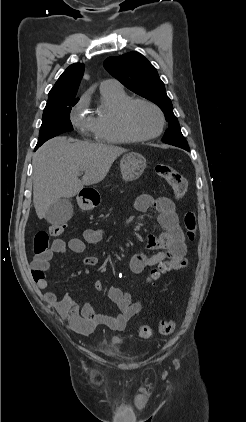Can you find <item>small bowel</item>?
I'll return each instance as SVG.
<instances>
[{
    "label": "small bowel",
    "instance_id": "small-bowel-1",
    "mask_svg": "<svg viewBox=\"0 0 246 422\" xmlns=\"http://www.w3.org/2000/svg\"><path fill=\"white\" fill-rule=\"evenodd\" d=\"M154 208L157 215V224L162 229L159 236L150 235L146 242L149 250L155 251L152 254L137 253L130 259V269L135 274L159 265L168 260L183 259L187 253V245L184 233L179 224L176 207L172 199L168 197H153L148 194H141L135 201V209L139 212H146ZM105 232L101 229H86L81 238H72L68 242L62 239L53 240L50 249L43 256L36 257L32 263V269L36 268L43 272L42 277L34 279L39 289H46L48 286L45 272L49 268V262L54 254L66 253L71 250L74 253H83L87 245L98 243L104 237ZM98 258L86 256L82 264L94 267L98 264ZM104 284L101 280L93 283L96 291H101ZM109 298L119 309L115 315H104L98 313L95 308L85 303L81 307L66 294L59 299L54 292H45L43 298L53 306L59 315L69 321L71 328L83 335L92 333L98 326L104 325L114 331H123L128 321L138 314L142 309L139 301H133L131 295L121 288L111 286L108 289Z\"/></svg>",
    "mask_w": 246,
    "mask_h": 422
}]
</instances>
